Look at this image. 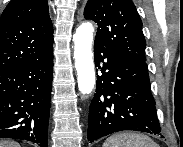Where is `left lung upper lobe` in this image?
Returning <instances> with one entry per match:
<instances>
[{"instance_id": "5c2ea615", "label": "left lung upper lobe", "mask_w": 183, "mask_h": 147, "mask_svg": "<svg viewBox=\"0 0 183 147\" xmlns=\"http://www.w3.org/2000/svg\"><path fill=\"white\" fill-rule=\"evenodd\" d=\"M84 17L98 24L95 43L147 65L142 21L132 0H88Z\"/></svg>"}]
</instances>
